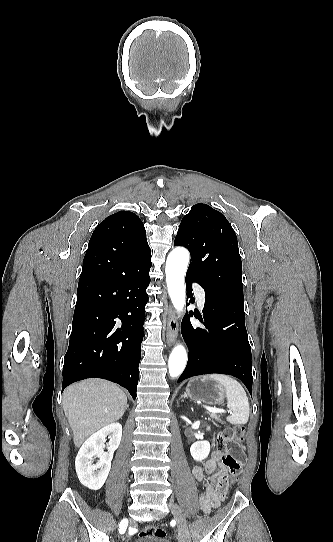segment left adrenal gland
Returning <instances> with one entry per match:
<instances>
[{
	"label": "left adrenal gland",
	"instance_id": "obj_1",
	"mask_svg": "<svg viewBox=\"0 0 333 542\" xmlns=\"http://www.w3.org/2000/svg\"><path fill=\"white\" fill-rule=\"evenodd\" d=\"M181 398H188L186 392H184V396H181Z\"/></svg>",
	"mask_w": 333,
	"mask_h": 542
}]
</instances>
